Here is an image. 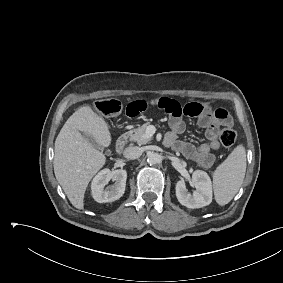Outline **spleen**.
<instances>
[{
    "label": "spleen",
    "mask_w": 283,
    "mask_h": 283,
    "mask_svg": "<svg viewBox=\"0 0 283 283\" xmlns=\"http://www.w3.org/2000/svg\"><path fill=\"white\" fill-rule=\"evenodd\" d=\"M246 172V151L238 145L213 173V190L216 202L228 204L241 187Z\"/></svg>",
    "instance_id": "1"
}]
</instances>
